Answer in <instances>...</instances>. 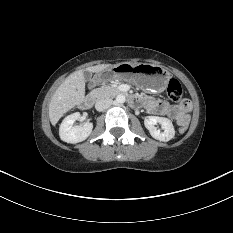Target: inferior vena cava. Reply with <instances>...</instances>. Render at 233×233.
<instances>
[{
    "label": "inferior vena cava",
    "instance_id": "1",
    "mask_svg": "<svg viewBox=\"0 0 233 233\" xmlns=\"http://www.w3.org/2000/svg\"><path fill=\"white\" fill-rule=\"evenodd\" d=\"M112 105V100L111 99H100L96 102L95 108L97 111H104L108 109Z\"/></svg>",
    "mask_w": 233,
    "mask_h": 233
}]
</instances>
